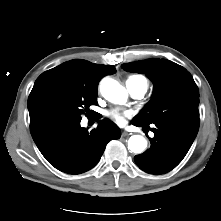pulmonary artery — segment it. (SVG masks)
<instances>
[{"instance_id":"pulmonary-artery-1","label":"pulmonary artery","mask_w":221,"mask_h":221,"mask_svg":"<svg viewBox=\"0 0 221 221\" xmlns=\"http://www.w3.org/2000/svg\"><path fill=\"white\" fill-rule=\"evenodd\" d=\"M126 87L131 94V96L135 99H141L144 97L147 87L139 82L136 81H127L126 82Z\"/></svg>"}]
</instances>
